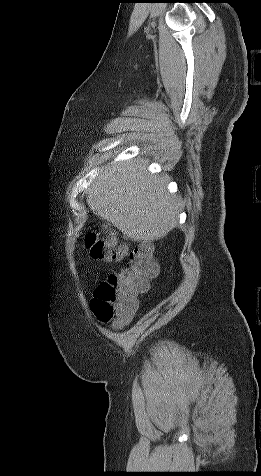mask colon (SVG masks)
<instances>
[{
  "label": "colon",
  "mask_w": 261,
  "mask_h": 476,
  "mask_svg": "<svg viewBox=\"0 0 261 476\" xmlns=\"http://www.w3.org/2000/svg\"><path fill=\"white\" fill-rule=\"evenodd\" d=\"M85 242L94 258L105 261L125 259L124 265L97 287L91 303L92 311L101 322L123 325L136 312L137 295L145 292L149 281L158 274L153 244L141 242L128 249L119 244L114 235L102 238L97 231L90 232Z\"/></svg>",
  "instance_id": "5ec220e1"
}]
</instances>
